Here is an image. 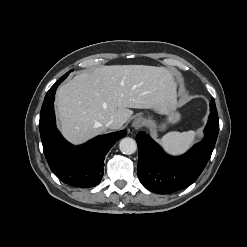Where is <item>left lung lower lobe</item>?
I'll list each match as a JSON object with an SVG mask.
<instances>
[{"label":"left lung lower lobe","mask_w":247,"mask_h":247,"mask_svg":"<svg viewBox=\"0 0 247 247\" xmlns=\"http://www.w3.org/2000/svg\"><path fill=\"white\" fill-rule=\"evenodd\" d=\"M219 125L207 123L204 139L179 157L167 155L145 132L136 136L138 177L141 184L157 193H170L191 185L211 157Z\"/></svg>","instance_id":"obj_1"}]
</instances>
